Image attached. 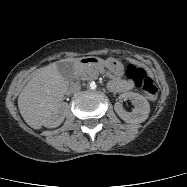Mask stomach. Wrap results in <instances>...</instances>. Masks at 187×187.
Listing matches in <instances>:
<instances>
[{"mask_svg": "<svg viewBox=\"0 0 187 187\" xmlns=\"http://www.w3.org/2000/svg\"><path fill=\"white\" fill-rule=\"evenodd\" d=\"M93 61L99 66L106 67L113 78H120L124 73V66L118 59L112 57L106 60L94 58Z\"/></svg>", "mask_w": 187, "mask_h": 187, "instance_id": "stomach-1", "label": "stomach"}]
</instances>
